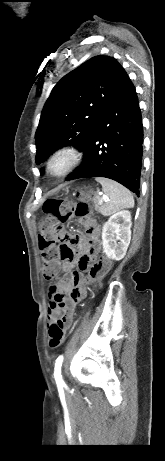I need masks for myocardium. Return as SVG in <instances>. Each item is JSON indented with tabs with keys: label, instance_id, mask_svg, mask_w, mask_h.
<instances>
[{
	"label": "myocardium",
	"instance_id": "myocardium-1",
	"mask_svg": "<svg viewBox=\"0 0 165 461\" xmlns=\"http://www.w3.org/2000/svg\"><path fill=\"white\" fill-rule=\"evenodd\" d=\"M82 153L72 145H65L55 149L45 163L46 174L59 180L70 174L81 163Z\"/></svg>",
	"mask_w": 165,
	"mask_h": 461
}]
</instances>
